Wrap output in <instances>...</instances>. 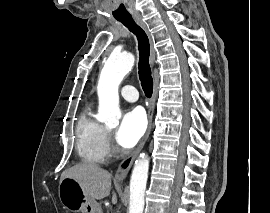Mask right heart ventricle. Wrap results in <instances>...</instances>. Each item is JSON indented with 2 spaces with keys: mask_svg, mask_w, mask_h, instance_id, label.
I'll return each mask as SVG.
<instances>
[{
  "mask_svg": "<svg viewBox=\"0 0 270 213\" xmlns=\"http://www.w3.org/2000/svg\"><path fill=\"white\" fill-rule=\"evenodd\" d=\"M76 151L81 160L100 164L110 157L105 127L94 118L92 105L82 111L76 126Z\"/></svg>",
  "mask_w": 270,
  "mask_h": 213,
  "instance_id": "e07e8e85",
  "label": "right heart ventricle"
}]
</instances>
